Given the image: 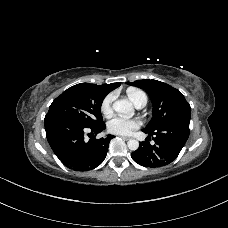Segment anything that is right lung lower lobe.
Segmentation results:
<instances>
[{
  "instance_id": "right-lung-lower-lobe-1",
  "label": "right lung lower lobe",
  "mask_w": 228,
  "mask_h": 228,
  "mask_svg": "<svg viewBox=\"0 0 228 228\" xmlns=\"http://www.w3.org/2000/svg\"><path fill=\"white\" fill-rule=\"evenodd\" d=\"M105 123L85 126L65 117L45 118L47 140L59 160L74 171H88L99 166L106 157L109 142L114 137L91 138L85 141L84 134H95L105 129Z\"/></svg>"
}]
</instances>
